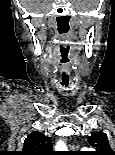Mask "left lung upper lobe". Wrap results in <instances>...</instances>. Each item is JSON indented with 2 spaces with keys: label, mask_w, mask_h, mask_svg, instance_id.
Segmentation results:
<instances>
[{
  "label": "left lung upper lobe",
  "mask_w": 115,
  "mask_h": 155,
  "mask_svg": "<svg viewBox=\"0 0 115 155\" xmlns=\"http://www.w3.org/2000/svg\"><path fill=\"white\" fill-rule=\"evenodd\" d=\"M90 144L98 149L94 155H115V151H112L107 135L103 132H95L89 137Z\"/></svg>",
  "instance_id": "left-lung-upper-lobe-1"
}]
</instances>
